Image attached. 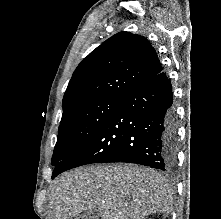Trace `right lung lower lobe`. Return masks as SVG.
I'll return each mask as SVG.
<instances>
[{"label":"right lung lower lobe","mask_w":221,"mask_h":219,"mask_svg":"<svg viewBox=\"0 0 221 219\" xmlns=\"http://www.w3.org/2000/svg\"><path fill=\"white\" fill-rule=\"evenodd\" d=\"M172 102L170 80L160 72L128 92L95 135L56 165L52 178L65 170L100 162L171 170L177 149Z\"/></svg>","instance_id":"right-lung-lower-lobe-1"}]
</instances>
